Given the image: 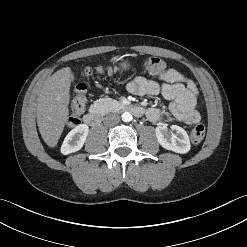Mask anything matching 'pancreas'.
Here are the masks:
<instances>
[{"mask_svg": "<svg viewBox=\"0 0 247 247\" xmlns=\"http://www.w3.org/2000/svg\"><path fill=\"white\" fill-rule=\"evenodd\" d=\"M94 106L101 113L118 110L122 104L112 98H100L94 102Z\"/></svg>", "mask_w": 247, "mask_h": 247, "instance_id": "cf45deb5", "label": "pancreas"}]
</instances>
